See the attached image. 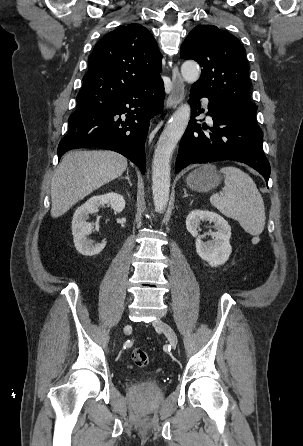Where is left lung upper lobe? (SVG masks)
I'll use <instances>...</instances> for the list:
<instances>
[{"mask_svg":"<svg viewBox=\"0 0 303 446\" xmlns=\"http://www.w3.org/2000/svg\"><path fill=\"white\" fill-rule=\"evenodd\" d=\"M180 55L203 68L192 87L226 100L256 122L257 107L250 100L249 65L245 49L235 36L213 25L196 26L183 42Z\"/></svg>","mask_w":303,"mask_h":446,"instance_id":"left-lung-upper-lobe-1","label":"left lung upper lobe"}]
</instances>
